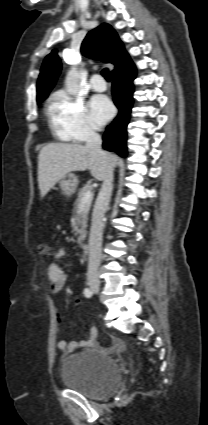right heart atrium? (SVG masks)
<instances>
[{"label":"right heart atrium","instance_id":"d8ad5b80","mask_svg":"<svg viewBox=\"0 0 208 425\" xmlns=\"http://www.w3.org/2000/svg\"><path fill=\"white\" fill-rule=\"evenodd\" d=\"M51 113L56 131L68 139L84 142L97 134L85 103L72 98L65 91H59L54 95Z\"/></svg>","mask_w":208,"mask_h":425}]
</instances>
